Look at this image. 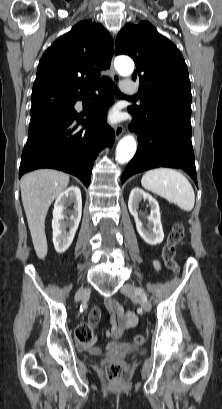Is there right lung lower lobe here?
I'll list each match as a JSON object with an SVG mask.
<instances>
[{
	"mask_svg": "<svg viewBox=\"0 0 222 409\" xmlns=\"http://www.w3.org/2000/svg\"><path fill=\"white\" fill-rule=\"evenodd\" d=\"M108 83L96 87L99 96L91 93L88 97L92 105L85 120L78 119L76 102L56 104L31 116L19 178L35 169L54 168L77 176L89 186L93 161L115 138L106 124V110L113 102Z\"/></svg>",
	"mask_w": 222,
	"mask_h": 409,
	"instance_id": "1",
	"label": "right lung lower lobe"
}]
</instances>
